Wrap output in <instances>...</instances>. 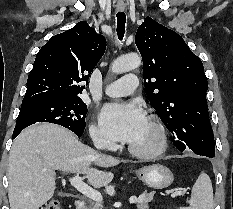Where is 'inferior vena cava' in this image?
Masks as SVG:
<instances>
[{
	"instance_id": "obj_1",
	"label": "inferior vena cava",
	"mask_w": 233,
	"mask_h": 209,
	"mask_svg": "<svg viewBox=\"0 0 233 209\" xmlns=\"http://www.w3.org/2000/svg\"><path fill=\"white\" fill-rule=\"evenodd\" d=\"M94 145L98 149H103L107 145V143H106V141H104L100 138H95Z\"/></svg>"
}]
</instances>
